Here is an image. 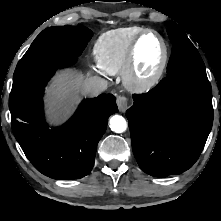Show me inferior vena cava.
Segmentation results:
<instances>
[{
	"label": "inferior vena cava",
	"instance_id": "602c4592",
	"mask_svg": "<svg viewBox=\"0 0 221 221\" xmlns=\"http://www.w3.org/2000/svg\"><path fill=\"white\" fill-rule=\"evenodd\" d=\"M107 87V81L98 76L90 77L85 81V91L91 95H98L99 93L106 90Z\"/></svg>",
	"mask_w": 221,
	"mask_h": 221
}]
</instances>
